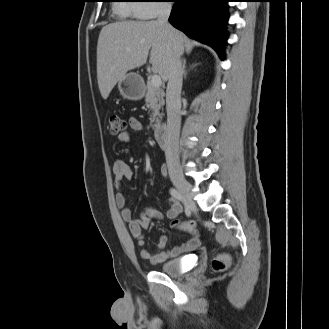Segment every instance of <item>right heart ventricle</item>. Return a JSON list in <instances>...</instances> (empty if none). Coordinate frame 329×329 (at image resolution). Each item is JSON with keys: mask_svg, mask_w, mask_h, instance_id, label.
<instances>
[{"mask_svg": "<svg viewBox=\"0 0 329 329\" xmlns=\"http://www.w3.org/2000/svg\"><path fill=\"white\" fill-rule=\"evenodd\" d=\"M135 8H136V4L130 3L129 0H124L122 1V3L116 4L115 11L121 17H128L131 15L135 16Z\"/></svg>", "mask_w": 329, "mask_h": 329, "instance_id": "right-heart-ventricle-1", "label": "right heart ventricle"}]
</instances>
